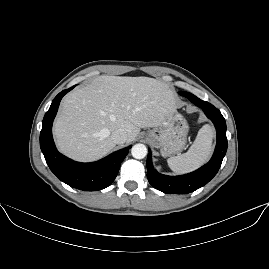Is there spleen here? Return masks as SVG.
Returning a JSON list of instances; mask_svg holds the SVG:
<instances>
[{
	"mask_svg": "<svg viewBox=\"0 0 269 269\" xmlns=\"http://www.w3.org/2000/svg\"><path fill=\"white\" fill-rule=\"evenodd\" d=\"M214 128L205 124L197 134V137L188 152L170 157L167 162L170 169L176 174H183L195 170L205 163L212 153V141Z\"/></svg>",
	"mask_w": 269,
	"mask_h": 269,
	"instance_id": "obj_1",
	"label": "spleen"
}]
</instances>
